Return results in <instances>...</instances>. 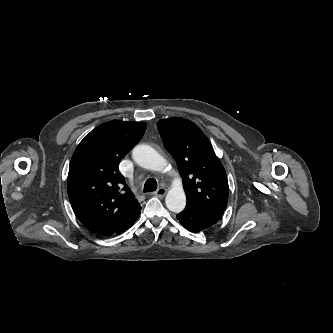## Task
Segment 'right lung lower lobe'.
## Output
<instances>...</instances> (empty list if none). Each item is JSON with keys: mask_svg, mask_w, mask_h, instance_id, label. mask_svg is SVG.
<instances>
[{"mask_svg": "<svg viewBox=\"0 0 333 333\" xmlns=\"http://www.w3.org/2000/svg\"><path fill=\"white\" fill-rule=\"evenodd\" d=\"M137 219H138V218H137ZM137 219H136V220H137ZM136 220H135V221H136ZM135 221H134L130 226H128L125 230H127L128 228H130V227L135 223ZM125 230H124V231H125ZM124 231H122V232H124ZM120 233H121V232H120ZM120 233H119V234H120Z\"/></svg>", "mask_w": 333, "mask_h": 333, "instance_id": "right-lung-lower-lobe-1", "label": "right lung lower lobe"}]
</instances>
